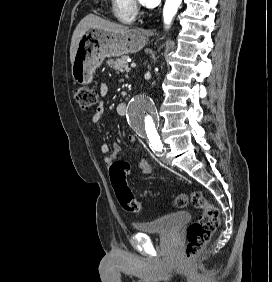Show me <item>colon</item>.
Returning <instances> with one entry per match:
<instances>
[{
	"label": "colon",
	"instance_id": "5ec220e1",
	"mask_svg": "<svg viewBox=\"0 0 272 282\" xmlns=\"http://www.w3.org/2000/svg\"><path fill=\"white\" fill-rule=\"evenodd\" d=\"M74 97L79 107L85 111L92 109L98 101L96 92L86 87L76 89ZM126 171L127 169L123 162H116L111 167V173L114 177L115 194L123 209L131 213H139L141 211V205L135 199L130 187L125 181ZM190 198L194 207L199 209L201 214L189 226L187 231L184 259L188 262L192 261L199 254L220 224L218 209L210 203L202 191H193ZM174 204L177 208L186 207L188 196L186 194L177 195Z\"/></svg>",
	"mask_w": 272,
	"mask_h": 282
}]
</instances>
